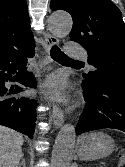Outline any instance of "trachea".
Listing matches in <instances>:
<instances>
[{
	"label": "trachea",
	"instance_id": "obj_1",
	"mask_svg": "<svg viewBox=\"0 0 125 167\" xmlns=\"http://www.w3.org/2000/svg\"><path fill=\"white\" fill-rule=\"evenodd\" d=\"M51 57L59 62H75V63H80L77 60H73L69 58L67 55H65L56 45H54L51 48Z\"/></svg>",
	"mask_w": 125,
	"mask_h": 167
}]
</instances>
